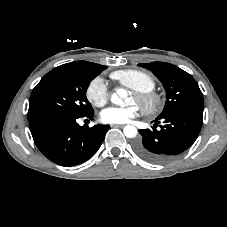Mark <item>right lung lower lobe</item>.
I'll use <instances>...</instances> for the list:
<instances>
[{
    "instance_id": "obj_1",
    "label": "right lung lower lobe",
    "mask_w": 227,
    "mask_h": 227,
    "mask_svg": "<svg viewBox=\"0 0 227 227\" xmlns=\"http://www.w3.org/2000/svg\"><path fill=\"white\" fill-rule=\"evenodd\" d=\"M84 116L42 114L29 119L33 140L52 162L61 166H74L91 158L101 146L109 125L80 126L78 118Z\"/></svg>"
}]
</instances>
